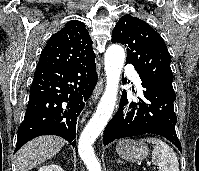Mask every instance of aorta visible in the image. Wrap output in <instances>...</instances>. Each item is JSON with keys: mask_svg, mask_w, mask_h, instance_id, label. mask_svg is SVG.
I'll return each instance as SVG.
<instances>
[{"mask_svg": "<svg viewBox=\"0 0 199 171\" xmlns=\"http://www.w3.org/2000/svg\"><path fill=\"white\" fill-rule=\"evenodd\" d=\"M124 49L117 44L108 47L105 53L106 88L96 112L84 128L78 142V152L88 171H101L92 144L108 123L117 100L118 85L124 64Z\"/></svg>", "mask_w": 199, "mask_h": 171, "instance_id": "obj_1", "label": "aorta"}]
</instances>
